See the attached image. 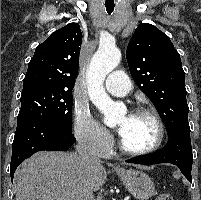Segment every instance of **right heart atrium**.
<instances>
[{"label": "right heart atrium", "mask_w": 201, "mask_h": 200, "mask_svg": "<svg viewBox=\"0 0 201 200\" xmlns=\"http://www.w3.org/2000/svg\"><path fill=\"white\" fill-rule=\"evenodd\" d=\"M74 133L77 141L87 150L99 156L109 154L113 139L91 115L87 106L75 109Z\"/></svg>", "instance_id": "right-heart-atrium-1"}]
</instances>
